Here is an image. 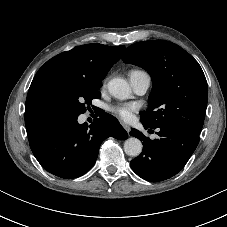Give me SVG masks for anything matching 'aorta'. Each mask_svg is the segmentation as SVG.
Instances as JSON below:
<instances>
[{
    "label": "aorta",
    "instance_id": "762f6f07",
    "mask_svg": "<svg viewBox=\"0 0 227 227\" xmlns=\"http://www.w3.org/2000/svg\"><path fill=\"white\" fill-rule=\"evenodd\" d=\"M109 92L116 98L125 99L131 94L128 82L123 78H113L108 82ZM124 151L128 156L137 157L142 152V143L139 139L131 137L124 143Z\"/></svg>",
    "mask_w": 227,
    "mask_h": 227
}]
</instances>
